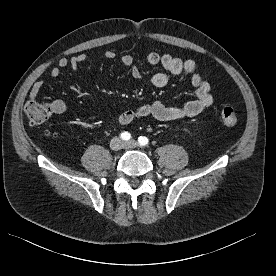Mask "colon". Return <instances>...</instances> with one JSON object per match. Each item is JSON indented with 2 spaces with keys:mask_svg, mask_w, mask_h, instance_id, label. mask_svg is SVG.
<instances>
[{
  "mask_svg": "<svg viewBox=\"0 0 276 276\" xmlns=\"http://www.w3.org/2000/svg\"><path fill=\"white\" fill-rule=\"evenodd\" d=\"M24 112L32 125H41L50 118L52 107L45 101L29 100L25 104ZM219 117L221 122L228 127H233L238 122V114L236 110L230 106H224L220 110Z\"/></svg>",
  "mask_w": 276,
  "mask_h": 276,
  "instance_id": "obj_1",
  "label": "colon"
}]
</instances>
